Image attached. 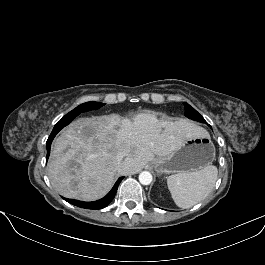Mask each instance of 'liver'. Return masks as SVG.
I'll use <instances>...</instances> for the list:
<instances>
[{"instance_id": "1", "label": "liver", "mask_w": 265, "mask_h": 265, "mask_svg": "<svg viewBox=\"0 0 265 265\" xmlns=\"http://www.w3.org/2000/svg\"><path fill=\"white\" fill-rule=\"evenodd\" d=\"M205 133L190 121L158 119L151 112L138 113L132 120L117 114L80 118L54 140L48 176L64 197L98 200L110 191L116 174H134L155 155L171 154L182 139ZM119 154L124 156L121 167Z\"/></svg>"}]
</instances>
